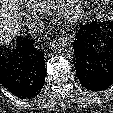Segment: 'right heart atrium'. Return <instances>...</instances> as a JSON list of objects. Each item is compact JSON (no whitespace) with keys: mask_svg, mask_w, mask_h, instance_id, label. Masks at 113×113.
Instances as JSON below:
<instances>
[{"mask_svg":"<svg viewBox=\"0 0 113 113\" xmlns=\"http://www.w3.org/2000/svg\"><path fill=\"white\" fill-rule=\"evenodd\" d=\"M39 13L34 10H29L26 12L25 17L29 22H34L39 18Z\"/></svg>","mask_w":113,"mask_h":113,"instance_id":"1","label":"right heart atrium"}]
</instances>
